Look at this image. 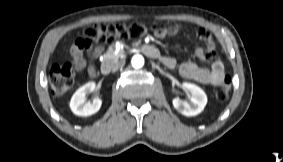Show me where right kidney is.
Wrapping results in <instances>:
<instances>
[{"instance_id": "right-kidney-1", "label": "right kidney", "mask_w": 283, "mask_h": 162, "mask_svg": "<svg viewBox=\"0 0 283 162\" xmlns=\"http://www.w3.org/2000/svg\"><path fill=\"white\" fill-rule=\"evenodd\" d=\"M96 88L95 82L91 81L80 87L72 96L70 108L75 115L90 116L99 111L102 101L95 98L92 102L87 101L86 95Z\"/></svg>"}]
</instances>
